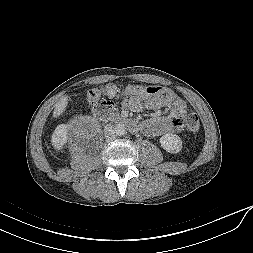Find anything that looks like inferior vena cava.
I'll return each instance as SVG.
<instances>
[{
  "mask_svg": "<svg viewBox=\"0 0 253 253\" xmlns=\"http://www.w3.org/2000/svg\"><path fill=\"white\" fill-rule=\"evenodd\" d=\"M104 136L107 139L114 138L116 136L115 131H114V126L106 125L105 128H104Z\"/></svg>",
  "mask_w": 253,
  "mask_h": 253,
  "instance_id": "602c4592",
  "label": "inferior vena cava"
}]
</instances>
